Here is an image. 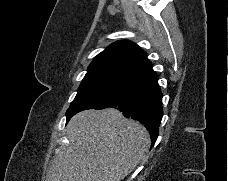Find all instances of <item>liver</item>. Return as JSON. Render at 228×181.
Masks as SVG:
<instances>
[{"label": "liver", "mask_w": 228, "mask_h": 181, "mask_svg": "<svg viewBox=\"0 0 228 181\" xmlns=\"http://www.w3.org/2000/svg\"><path fill=\"white\" fill-rule=\"evenodd\" d=\"M66 131L68 147L58 155L48 181H123L147 161L148 131L117 109L81 111Z\"/></svg>", "instance_id": "6515ba94"}]
</instances>
